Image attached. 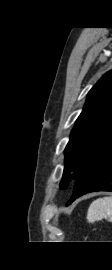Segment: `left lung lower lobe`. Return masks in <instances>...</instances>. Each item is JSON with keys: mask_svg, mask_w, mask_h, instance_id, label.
I'll use <instances>...</instances> for the list:
<instances>
[{"mask_svg": "<svg viewBox=\"0 0 112 270\" xmlns=\"http://www.w3.org/2000/svg\"><path fill=\"white\" fill-rule=\"evenodd\" d=\"M92 191H112V148L76 180L67 205Z\"/></svg>", "mask_w": 112, "mask_h": 270, "instance_id": "obj_1", "label": "left lung lower lobe"}]
</instances>
